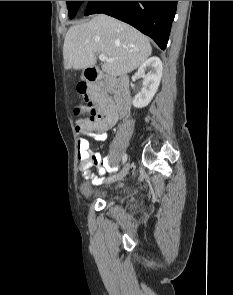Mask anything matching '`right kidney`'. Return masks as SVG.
<instances>
[{
	"instance_id": "1",
	"label": "right kidney",
	"mask_w": 233,
	"mask_h": 295,
	"mask_svg": "<svg viewBox=\"0 0 233 295\" xmlns=\"http://www.w3.org/2000/svg\"><path fill=\"white\" fill-rule=\"evenodd\" d=\"M147 70H150V72L145 75ZM137 74L143 77V87L133 98L132 104L136 108H142L151 102L160 85L162 76L161 60L155 56L149 58L139 67Z\"/></svg>"
}]
</instances>
